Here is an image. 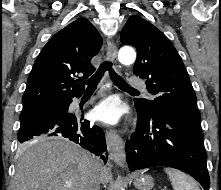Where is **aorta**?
Returning a JSON list of instances; mask_svg holds the SVG:
<instances>
[{
  "label": "aorta",
  "mask_w": 221,
  "mask_h": 190,
  "mask_svg": "<svg viewBox=\"0 0 221 190\" xmlns=\"http://www.w3.org/2000/svg\"><path fill=\"white\" fill-rule=\"evenodd\" d=\"M118 59L122 64L130 65L136 59V53L132 47L124 46L119 50Z\"/></svg>",
  "instance_id": "762f6f07"
}]
</instances>
